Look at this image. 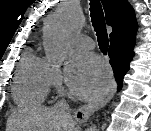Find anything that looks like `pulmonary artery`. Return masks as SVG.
<instances>
[{"label": "pulmonary artery", "instance_id": "1", "mask_svg": "<svg viewBox=\"0 0 151 131\" xmlns=\"http://www.w3.org/2000/svg\"><path fill=\"white\" fill-rule=\"evenodd\" d=\"M79 46L83 49H92L93 48V42L89 37H81L79 41Z\"/></svg>", "mask_w": 151, "mask_h": 131}]
</instances>
